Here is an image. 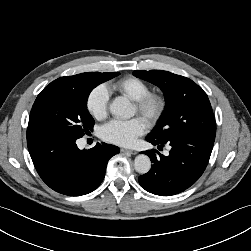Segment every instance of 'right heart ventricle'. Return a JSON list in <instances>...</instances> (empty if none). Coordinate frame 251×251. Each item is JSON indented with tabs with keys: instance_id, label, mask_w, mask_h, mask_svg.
Segmentation results:
<instances>
[{
	"instance_id": "e07e8e85",
	"label": "right heart ventricle",
	"mask_w": 251,
	"mask_h": 251,
	"mask_svg": "<svg viewBox=\"0 0 251 251\" xmlns=\"http://www.w3.org/2000/svg\"><path fill=\"white\" fill-rule=\"evenodd\" d=\"M112 88L133 101L139 100L150 92L149 85L134 76L124 77L114 82Z\"/></svg>"
}]
</instances>
